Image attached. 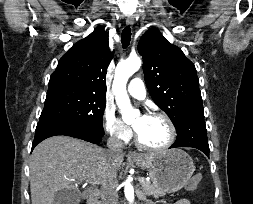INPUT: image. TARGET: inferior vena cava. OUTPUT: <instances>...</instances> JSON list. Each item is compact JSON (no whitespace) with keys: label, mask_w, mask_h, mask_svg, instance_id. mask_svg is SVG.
Segmentation results:
<instances>
[{"label":"inferior vena cava","mask_w":253,"mask_h":204,"mask_svg":"<svg viewBox=\"0 0 253 204\" xmlns=\"http://www.w3.org/2000/svg\"><path fill=\"white\" fill-rule=\"evenodd\" d=\"M108 154L110 157L122 153L123 143L115 135H111L107 141ZM116 188V173H111L108 179L102 184L101 197L103 204H117L118 194Z\"/></svg>","instance_id":"1"}]
</instances>
